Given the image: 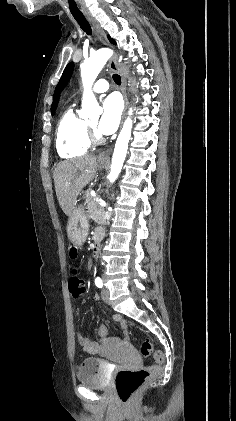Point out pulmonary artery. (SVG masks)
I'll return each mask as SVG.
<instances>
[{
  "label": "pulmonary artery",
  "mask_w": 236,
  "mask_h": 421,
  "mask_svg": "<svg viewBox=\"0 0 236 421\" xmlns=\"http://www.w3.org/2000/svg\"><path fill=\"white\" fill-rule=\"evenodd\" d=\"M109 88V82L107 78L99 79L93 86V90L96 93L104 92Z\"/></svg>",
  "instance_id": "e3ab8cb5"
}]
</instances>
